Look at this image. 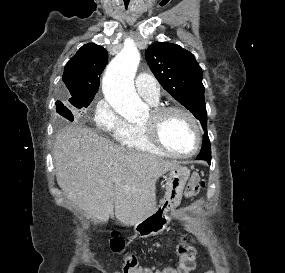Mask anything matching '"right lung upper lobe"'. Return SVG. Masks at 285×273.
<instances>
[{
  "instance_id": "obj_1",
  "label": "right lung upper lobe",
  "mask_w": 285,
  "mask_h": 273,
  "mask_svg": "<svg viewBox=\"0 0 285 273\" xmlns=\"http://www.w3.org/2000/svg\"><path fill=\"white\" fill-rule=\"evenodd\" d=\"M107 59L108 53L102 46L88 43L68 61L64 68L63 81L71 95L70 101L94 98Z\"/></svg>"
}]
</instances>
